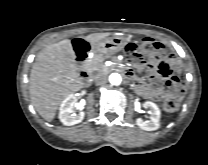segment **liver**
<instances>
[{
  "mask_svg": "<svg viewBox=\"0 0 208 165\" xmlns=\"http://www.w3.org/2000/svg\"><path fill=\"white\" fill-rule=\"evenodd\" d=\"M111 33H94L82 39L93 45ZM83 87L70 40L46 46L38 53L30 73V98L39 115L51 122L61 102Z\"/></svg>",
  "mask_w": 208,
  "mask_h": 165,
  "instance_id": "obj_1",
  "label": "liver"
}]
</instances>
